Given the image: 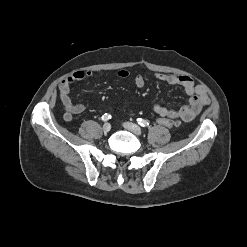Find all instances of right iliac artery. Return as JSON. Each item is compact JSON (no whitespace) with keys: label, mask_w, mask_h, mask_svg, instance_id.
<instances>
[{"label":"right iliac artery","mask_w":247,"mask_h":247,"mask_svg":"<svg viewBox=\"0 0 247 247\" xmlns=\"http://www.w3.org/2000/svg\"><path fill=\"white\" fill-rule=\"evenodd\" d=\"M111 118V115L110 114H107L105 113L103 116H102V121H108L109 119Z\"/></svg>","instance_id":"1"}]
</instances>
